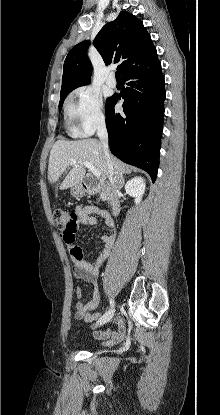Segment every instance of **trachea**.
<instances>
[{"label":"trachea","mask_w":220,"mask_h":415,"mask_svg":"<svg viewBox=\"0 0 220 415\" xmlns=\"http://www.w3.org/2000/svg\"><path fill=\"white\" fill-rule=\"evenodd\" d=\"M115 76H116V79H117V80H118V79H121V76H120V72H119V71H116Z\"/></svg>","instance_id":"trachea-1"}]
</instances>
